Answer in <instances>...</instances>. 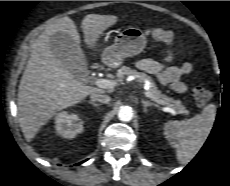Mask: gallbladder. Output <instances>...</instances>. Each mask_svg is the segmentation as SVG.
Segmentation results:
<instances>
[{
    "label": "gallbladder",
    "instance_id": "bac80fb5",
    "mask_svg": "<svg viewBox=\"0 0 230 186\" xmlns=\"http://www.w3.org/2000/svg\"><path fill=\"white\" fill-rule=\"evenodd\" d=\"M51 49L57 59L80 79L87 73V61L81 49L67 34L58 32L51 37Z\"/></svg>",
    "mask_w": 230,
    "mask_h": 186
}]
</instances>
